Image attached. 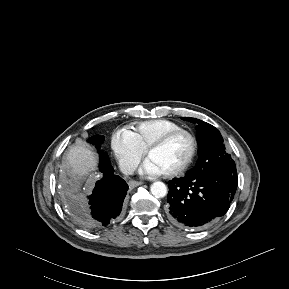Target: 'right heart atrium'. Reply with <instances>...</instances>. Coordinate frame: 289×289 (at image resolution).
<instances>
[{"label":"right heart atrium","mask_w":289,"mask_h":289,"mask_svg":"<svg viewBox=\"0 0 289 289\" xmlns=\"http://www.w3.org/2000/svg\"><path fill=\"white\" fill-rule=\"evenodd\" d=\"M111 145L120 167L128 173L136 169L145 154L134 133L128 129L116 131L112 136Z\"/></svg>","instance_id":"1"}]
</instances>
